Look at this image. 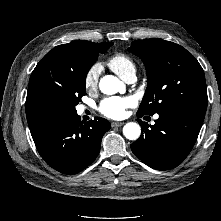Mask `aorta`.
<instances>
[{"instance_id": "obj_1", "label": "aorta", "mask_w": 221, "mask_h": 221, "mask_svg": "<svg viewBox=\"0 0 221 221\" xmlns=\"http://www.w3.org/2000/svg\"><path fill=\"white\" fill-rule=\"evenodd\" d=\"M100 91L107 95H113L124 91L123 83L113 75H106L99 82ZM123 134L129 140H137L141 134V127L135 122H129L123 127Z\"/></svg>"}]
</instances>
